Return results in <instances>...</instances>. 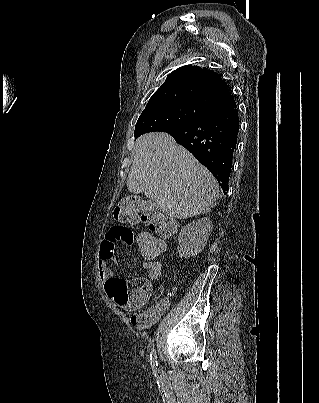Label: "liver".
<instances>
[{
    "mask_svg": "<svg viewBox=\"0 0 319 403\" xmlns=\"http://www.w3.org/2000/svg\"><path fill=\"white\" fill-rule=\"evenodd\" d=\"M127 187L131 193H144L164 214L177 219L209 212L220 193L210 171L172 136L159 132L136 140Z\"/></svg>",
    "mask_w": 319,
    "mask_h": 403,
    "instance_id": "1",
    "label": "liver"
}]
</instances>
